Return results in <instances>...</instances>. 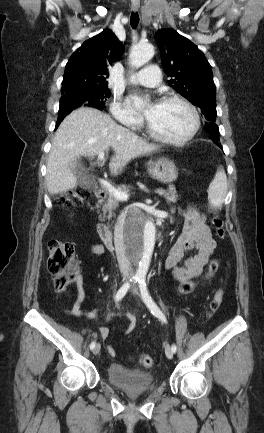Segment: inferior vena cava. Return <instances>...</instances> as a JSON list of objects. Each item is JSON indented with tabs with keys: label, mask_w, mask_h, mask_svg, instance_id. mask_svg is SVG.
I'll use <instances>...</instances> for the list:
<instances>
[{
	"label": "inferior vena cava",
	"mask_w": 264,
	"mask_h": 433,
	"mask_svg": "<svg viewBox=\"0 0 264 433\" xmlns=\"http://www.w3.org/2000/svg\"><path fill=\"white\" fill-rule=\"evenodd\" d=\"M123 224V216H120L117 222V228L114 233V250H115V257L119 260V269L124 277L132 276L131 272V266L129 260H127L126 252L124 251V241L123 236L124 233L122 231L121 225ZM127 239V238H126ZM130 252H141V251H130Z\"/></svg>",
	"instance_id": "inferior-vena-cava-1"
}]
</instances>
